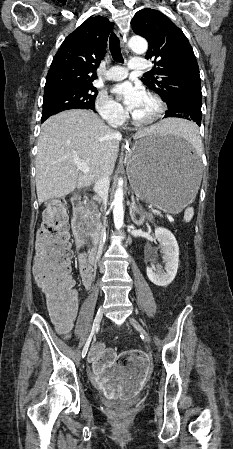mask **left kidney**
Masks as SVG:
<instances>
[{"mask_svg": "<svg viewBox=\"0 0 233 449\" xmlns=\"http://www.w3.org/2000/svg\"><path fill=\"white\" fill-rule=\"evenodd\" d=\"M155 238L158 240L161 251L164 254V270L158 269L154 271L147 267V276L149 280L157 285L165 287L169 285L175 278L179 263V246L175 236L166 228H155Z\"/></svg>", "mask_w": 233, "mask_h": 449, "instance_id": "5707ae66", "label": "left kidney"}]
</instances>
